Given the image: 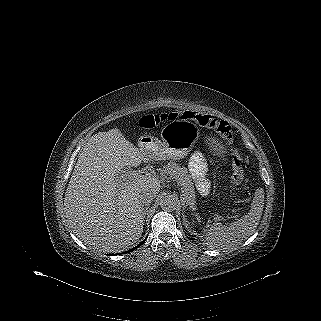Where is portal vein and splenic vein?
I'll return each instance as SVG.
<instances>
[{
  "mask_svg": "<svg viewBox=\"0 0 321 321\" xmlns=\"http://www.w3.org/2000/svg\"><path fill=\"white\" fill-rule=\"evenodd\" d=\"M146 174H149V173H146ZM130 175L135 177V176H139V175H142V174H140V172H137V171H132V172H130Z\"/></svg>",
  "mask_w": 321,
  "mask_h": 321,
  "instance_id": "obj_1",
  "label": "portal vein and splenic vein"
}]
</instances>
